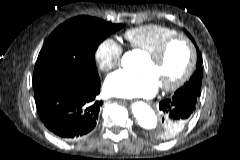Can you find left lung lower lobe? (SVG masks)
Returning <instances> with one entry per match:
<instances>
[{"instance_id":"0a47b994","label":"left lung lower lobe","mask_w":240,"mask_h":160,"mask_svg":"<svg viewBox=\"0 0 240 160\" xmlns=\"http://www.w3.org/2000/svg\"><path fill=\"white\" fill-rule=\"evenodd\" d=\"M197 100L198 97L192 94L175 93L171 99L160 102L159 108L164 114L163 122L166 123V137L175 136L183 129L196 107ZM176 122L183 123L182 127H176Z\"/></svg>"}]
</instances>
